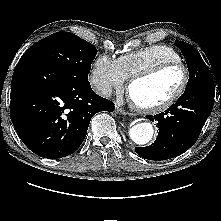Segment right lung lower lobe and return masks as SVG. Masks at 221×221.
<instances>
[{
  "label": "right lung lower lobe",
  "mask_w": 221,
  "mask_h": 221,
  "mask_svg": "<svg viewBox=\"0 0 221 221\" xmlns=\"http://www.w3.org/2000/svg\"><path fill=\"white\" fill-rule=\"evenodd\" d=\"M10 97V118L18 136L32 152L49 159L76 151L92 116L115 108L88 80L32 57L20 59Z\"/></svg>",
  "instance_id": "1"
}]
</instances>
